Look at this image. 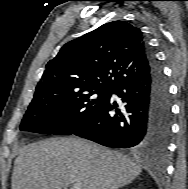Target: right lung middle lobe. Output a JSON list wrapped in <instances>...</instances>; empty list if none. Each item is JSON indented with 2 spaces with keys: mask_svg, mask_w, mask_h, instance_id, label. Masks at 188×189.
<instances>
[{
  "mask_svg": "<svg viewBox=\"0 0 188 189\" xmlns=\"http://www.w3.org/2000/svg\"><path fill=\"white\" fill-rule=\"evenodd\" d=\"M110 91L109 88L93 87L34 95L20 129L41 134L71 135L93 116Z\"/></svg>",
  "mask_w": 188,
  "mask_h": 189,
  "instance_id": "1",
  "label": "right lung middle lobe"
}]
</instances>
